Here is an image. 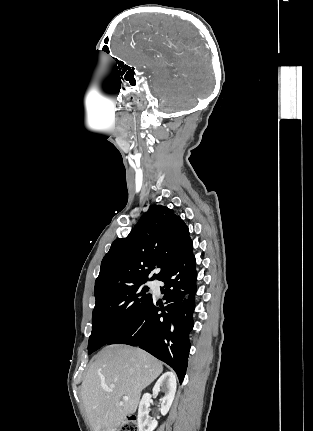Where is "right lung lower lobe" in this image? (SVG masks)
Segmentation results:
<instances>
[{"instance_id":"1","label":"right lung lower lobe","mask_w":313,"mask_h":431,"mask_svg":"<svg viewBox=\"0 0 313 431\" xmlns=\"http://www.w3.org/2000/svg\"><path fill=\"white\" fill-rule=\"evenodd\" d=\"M190 241L166 275L160 280L166 300L165 307L153 299L124 331L107 344L139 346L171 366L182 383L193 328L194 296L196 293L195 257Z\"/></svg>"}]
</instances>
